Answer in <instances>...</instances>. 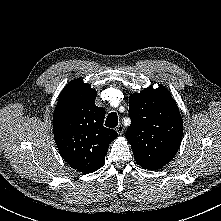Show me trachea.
Instances as JSON below:
<instances>
[{"mask_svg": "<svg viewBox=\"0 0 221 221\" xmlns=\"http://www.w3.org/2000/svg\"><path fill=\"white\" fill-rule=\"evenodd\" d=\"M118 124V116L117 113L112 112L108 115L106 121H105V126L109 128H114Z\"/></svg>", "mask_w": 221, "mask_h": 221, "instance_id": "obj_1", "label": "trachea"}]
</instances>
